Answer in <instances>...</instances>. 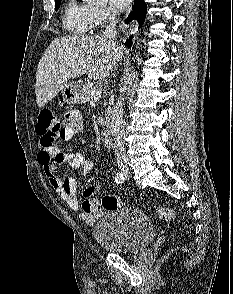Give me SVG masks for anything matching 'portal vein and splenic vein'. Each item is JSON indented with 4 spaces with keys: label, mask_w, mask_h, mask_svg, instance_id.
I'll use <instances>...</instances> for the list:
<instances>
[{
    "label": "portal vein and splenic vein",
    "mask_w": 233,
    "mask_h": 294,
    "mask_svg": "<svg viewBox=\"0 0 233 294\" xmlns=\"http://www.w3.org/2000/svg\"><path fill=\"white\" fill-rule=\"evenodd\" d=\"M90 93L93 98H98L101 96V91L96 87L92 88Z\"/></svg>",
    "instance_id": "obj_1"
}]
</instances>
